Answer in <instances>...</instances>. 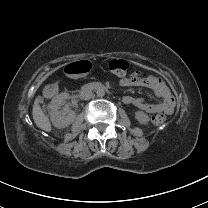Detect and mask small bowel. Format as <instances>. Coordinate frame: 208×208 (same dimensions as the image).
<instances>
[{
    "label": "small bowel",
    "mask_w": 208,
    "mask_h": 208,
    "mask_svg": "<svg viewBox=\"0 0 208 208\" xmlns=\"http://www.w3.org/2000/svg\"><path fill=\"white\" fill-rule=\"evenodd\" d=\"M123 86H141L152 89L160 99L158 103H149L141 98L126 96L124 103L137 107L150 114L165 113L170 114L174 109V97L165 82L159 77H143L139 73L123 76L121 79Z\"/></svg>",
    "instance_id": "c3829d8e"
}]
</instances>
